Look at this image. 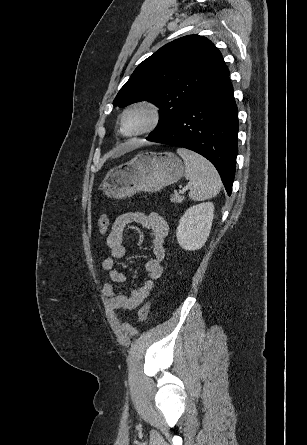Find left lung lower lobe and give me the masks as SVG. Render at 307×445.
I'll return each mask as SVG.
<instances>
[{
    "label": "left lung lower lobe",
    "mask_w": 307,
    "mask_h": 445,
    "mask_svg": "<svg viewBox=\"0 0 307 445\" xmlns=\"http://www.w3.org/2000/svg\"><path fill=\"white\" fill-rule=\"evenodd\" d=\"M238 111L229 75L147 140L195 151L218 170L228 195L235 173Z\"/></svg>",
    "instance_id": "left-lung-lower-lobe-1"
}]
</instances>
